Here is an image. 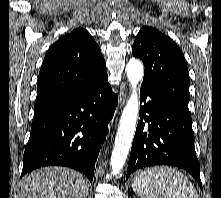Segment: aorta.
Segmentation results:
<instances>
[{"label": "aorta", "instance_id": "aorta-1", "mask_svg": "<svg viewBox=\"0 0 221 198\" xmlns=\"http://www.w3.org/2000/svg\"><path fill=\"white\" fill-rule=\"evenodd\" d=\"M126 74L131 85V94L123 109L115 137V145L110 161L113 175H117L122 170L135 134L139 113V85L144 75L142 62L132 58L126 65Z\"/></svg>", "mask_w": 221, "mask_h": 198}]
</instances>
